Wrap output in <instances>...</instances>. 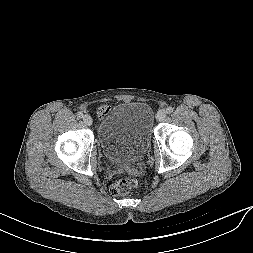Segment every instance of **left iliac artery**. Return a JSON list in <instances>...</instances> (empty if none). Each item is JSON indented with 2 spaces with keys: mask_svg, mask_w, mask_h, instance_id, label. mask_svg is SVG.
<instances>
[{
  "mask_svg": "<svg viewBox=\"0 0 253 253\" xmlns=\"http://www.w3.org/2000/svg\"><path fill=\"white\" fill-rule=\"evenodd\" d=\"M173 108L172 107H168L167 109H166V112L168 113V114H171L172 112H173Z\"/></svg>",
  "mask_w": 253,
  "mask_h": 253,
  "instance_id": "left-iliac-artery-1",
  "label": "left iliac artery"
}]
</instances>
